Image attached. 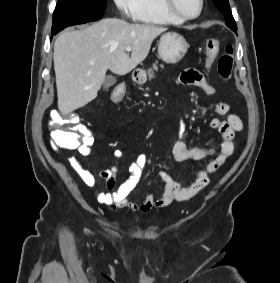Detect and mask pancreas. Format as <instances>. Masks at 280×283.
Wrapping results in <instances>:
<instances>
[{
  "label": "pancreas",
  "instance_id": "obj_1",
  "mask_svg": "<svg viewBox=\"0 0 280 283\" xmlns=\"http://www.w3.org/2000/svg\"><path fill=\"white\" fill-rule=\"evenodd\" d=\"M160 67L163 69L164 66L163 65H160ZM158 70V62L154 63L152 65V67H150L148 70H147V73H148V77H149V80H151L152 78H154V71H157Z\"/></svg>",
  "mask_w": 280,
  "mask_h": 283
}]
</instances>
